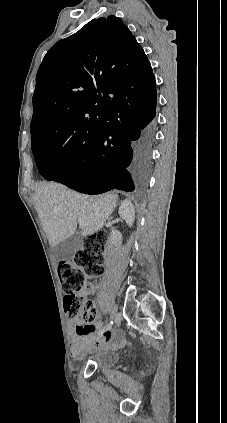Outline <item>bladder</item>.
Returning <instances> with one entry per match:
<instances>
[{"label":"bladder","mask_w":227,"mask_h":423,"mask_svg":"<svg viewBox=\"0 0 227 423\" xmlns=\"http://www.w3.org/2000/svg\"><path fill=\"white\" fill-rule=\"evenodd\" d=\"M119 362V354L116 351L111 352H98L89 360L92 364L100 369L106 370L117 366Z\"/></svg>","instance_id":"obj_1"}]
</instances>
